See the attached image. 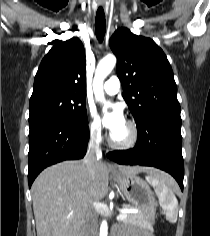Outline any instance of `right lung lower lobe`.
Listing matches in <instances>:
<instances>
[{"instance_id": "98d812e1", "label": "right lung lower lobe", "mask_w": 210, "mask_h": 236, "mask_svg": "<svg viewBox=\"0 0 210 236\" xmlns=\"http://www.w3.org/2000/svg\"><path fill=\"white\" fill-rule=\"evenodd\" d=\"M28 183L47 166L86 154L89 140L88 122L49 119L29 125Z\"/></svg>"}]
</instances>
